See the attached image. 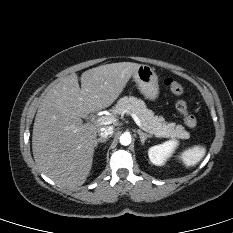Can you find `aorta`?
<instances>
[{"instance_id": "762f6f07", "label": "aorta", "mask_w": 233, "mask_h": 233, "mask_svg": "<svg viewBox=\"0 0 233 233\" xmlns=\"http://www.w3.org/2000/svg\"><path fill=\"white\" fill-rule=\"evenodd\" d=\"M131 135L128 133H124L120 136V143L124 146H127L131 143Z\"/></svg>"}]
</instances>
